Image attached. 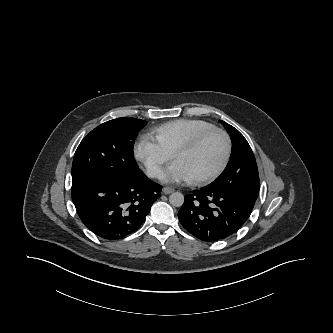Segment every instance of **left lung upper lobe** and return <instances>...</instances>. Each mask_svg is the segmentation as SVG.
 Segmentation results:
<instances>
[{
	"label": "left lung upper lobe",
	"mask_w": 333,
	"mask_h": 333,
	"mask_svg": "<svg viewBox=\"0 0 333 333\" xmlns=\"http://www.w3.org/2000/svg\"><path fill=\"white\" fill-rule=\"evenodd\" d=\"M232 140V154L224 172L211 184L228 190L251 203L259 193V174L254 154L244 136L233 126L220 121Z\"/></svg>",
	"instance_id": "1"
}]
</instances>
